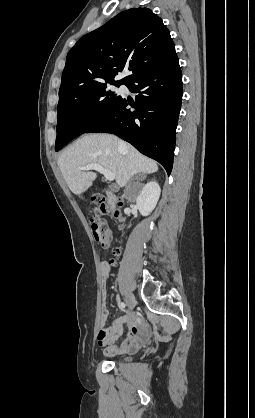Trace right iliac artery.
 <instances>
[{
	"label": "right iliac artery",
	"mask_w": 255,
	"mask_h": 418,
	"mask_svg": "<svg viewBox=\"0 0 255 418\" xmlns=\"http://www.w3.org/2000/svg\"><path fill=\"white\" fill-rule=\"evenodd\" d=\"M120 306H121L122 308H125V304H124L123 302H120Z\"/></svg>",
	"instance_id": "right-iliac-artery-1"
}]
</instances>
